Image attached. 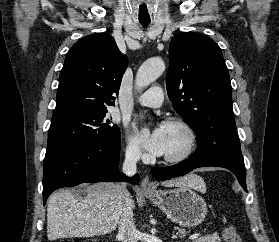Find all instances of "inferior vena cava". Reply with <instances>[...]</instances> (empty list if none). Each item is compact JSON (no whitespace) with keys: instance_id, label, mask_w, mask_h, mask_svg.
Returning a JSON list of instances; mask_svg holds the SVG:
<instances>
[{"instance_id":"1","label":"inferior vena cava","mask_w":279,"mask_h":242,"mask_svg":"<svg viewBox=\"0 0 279 242\" xmlns=\"http://www.w3.org/2000/svg\"><path fill=\"white\" fill-rule=\"evenodd\" d=\"M139 158L138 148H129L125 154L122 172L127 176H133L137 171L136 163ZM120 186L122 188V204L118 222V237L122 242H137L138 232L133 221L132 200L126 189V184L122 183Z\"/></svg>"}]
</instances>
